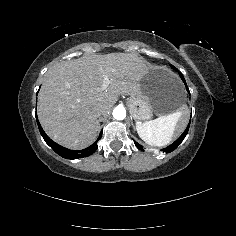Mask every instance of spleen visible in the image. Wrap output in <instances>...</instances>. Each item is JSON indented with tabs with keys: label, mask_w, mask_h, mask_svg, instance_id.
Masks as SVG:
<instances>
[{
	"label": "spleen",
	"mask_w": 236,
	"mask_h": 236,
	"mask_svg": "<svg viewBox=\"0 0 236 236\" xmlns=\"http://www.w3.org/2000/svg\"><path fill=\"white\" fill-rule=\"evenodd\" d=\"M182 115L183 111H177L151 121L136 123L137 133L149 145L165 146L171 142L176 125Z\"/></svg>",
	"instance_id": "1"
}]
</instances>
